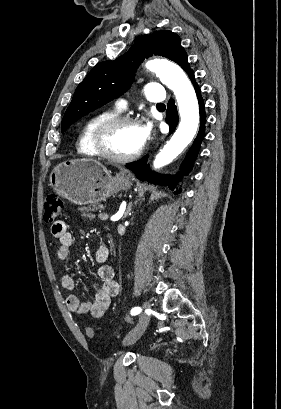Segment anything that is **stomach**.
I'll return each instance as SVG.
<instances>
[{"label": "stomach", "mask_w": 281, "mask_h": 409, "mask_svg": "<svg viewBox=\"0 0 281 409\" xmlns=\"http://www.w3.org/2000/svg\"><path fill=\"white\" fill-rule=\"evenodd\" d=\"M49 184L54 192L68 198L75 205H89L114 196L118 190H127L132 184L131 174L111 172L99 160L73 158L54 166L49 174Z\"/></svg>", "instance_id": "obj_1"}]
</instances>
